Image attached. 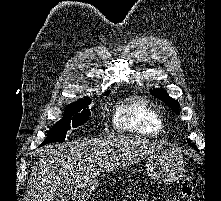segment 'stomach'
<instances>
[{"instance_id":"0dacf381","label":"stomach","mask_w":221,"mask_h":201,"mask_svg":"<svg viewBox=\"0 0 221 201\" xmlns=\"http://www.w3.org/2000/svg\"><path fill=\"white\" fill-rule=\"evenodd\" d=\"M184 170V161L177 150L158 151L148 156L146 171L148 176L158 183L168 184L177 180ZM96 185L79 193L86 198Z\"/></svg>"}]
</instances>
